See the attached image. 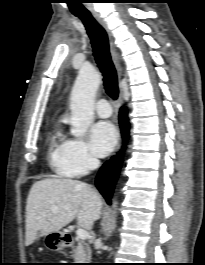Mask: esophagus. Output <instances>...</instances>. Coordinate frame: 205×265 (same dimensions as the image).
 Wrapping results in <instances>:
<instances>
[{
	"mask_svg": "<svg viewBox=\"0 0 205 265\" xmlns=\"http://www.w3.org/2000/svg\"><path fill=\"white\" fill-rule=\"evenodd\" d=\"M92 15L95 18V20L104 28V30L107 33V36L109 39L110 53L112 56V60H113L114 65L116 67L118 78H119V80H121V78L123 76V69H122L119 53H118V51L115 47V44H114L113 35H112L110 29L108 28V25L106 24V22L101 18V16L98 13L93 12ZM122 105H123V95H122V91H121L119 94V97H118V101H117V108L120 109Z\"/></svg>",
	"mask_w": 205,
	"mask_h": 265,
	"instance_id": "obj_1",
	"label": "esophagus"
}]
</instances>
